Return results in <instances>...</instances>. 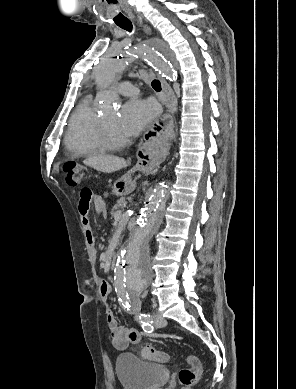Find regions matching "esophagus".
Segmentation results:
<instances>
[{"label": "esophagus", "mask_w": 296, "mask_h": 389, "mask_svg": "<svg viewBox=\"0 0 296 389\" xmlns=\"http://www.w3.org/2000/svg\"><path fill=\"white\" fill-rule=\"evenodd\" d=\"M140 26L146 34L151 33L148 25L140 21ZM162 91L168 102L169 110H174L177 105L175 94L167 81L159 75ZM174 114L172 112H159L153 120L152 126L146 130L147 141L140 145L138 149V160L135 165L136 169H156L158 163H162L164 156L167 154L165 140L169 139L174 126ZM165 139V140H164Z\"/></svg>", "instance_id": "1"}]
</instances>
